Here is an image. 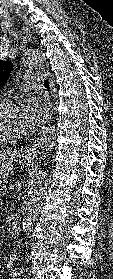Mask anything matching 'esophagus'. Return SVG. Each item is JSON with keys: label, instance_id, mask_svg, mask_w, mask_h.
Wrapping results in <instances>:
<instances>
[{"label": "esophagus", "instance_id": "1", "mask_svg": "<svg viewBox=\"0 0 113 279\" xmlns=\"http://www.w3.org/2000/svg\"><path fill=\"white\" fill-rule=\"evenodd\" d=\"M44 72L46 73V76L48 78L49 81V85H50V90H51V95H52V105H51V110L47 116V118L45 119L43 125H46L50 122L52 115H53V104H54V99H53V91H54V82L53 79L51 78L50 74L48 72L45 71V69L43 68ZM40 148V142H39V138H37L33 144H31L26 150H24V155L25 156H34Z\"/></svg>", "mask_w": 113, "mask_h": 279}]
</instances>
